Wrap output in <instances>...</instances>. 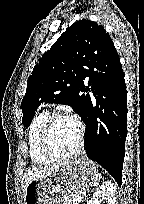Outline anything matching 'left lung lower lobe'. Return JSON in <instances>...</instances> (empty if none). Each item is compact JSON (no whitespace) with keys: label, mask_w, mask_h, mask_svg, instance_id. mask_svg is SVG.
Here are the masks:
<instances>
[{"label":"left lung lower lobe","mask_w":144,"mask_h":204,"mask_svg":"<svg viewBox=\"0 0 144 204\" xmlns=\"http://www.w3.org/2000/svg\"><path fill=\"white\" fill-rule=\"evenodd\" d=\"M111 65L87 70L88 87L83 92L93 94L83 93L82 119L88 158L106 169L120 186L127 136V92L120 59Z\"/></svg>","instance_id":"left-lung-lower-lobe-1"}]
</instances>
